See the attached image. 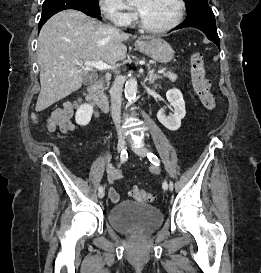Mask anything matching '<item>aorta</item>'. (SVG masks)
Here are the masks:
<instances>
[{
  "mask_svg": "<svg viewBox=\"0 0 261 273\" xmlns=\"http://www.w3.org/2000/svg\"><path fill=\"white\" fill-rule=\"evenodd\" d=\"M128 3L134 0H126ZM137 94V80L135 78H130L125 83V97L128 101L135 99Z\"/></svg>",
  "mask_w": 261,
  "mask_h": 273,
  "instance_id": "aorta-1",
  "label": "aorta"
}]
</instances>
